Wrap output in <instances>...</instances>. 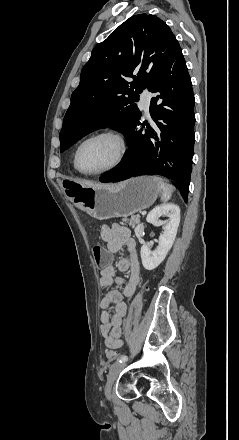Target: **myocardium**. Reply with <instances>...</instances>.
I'll list each match as a JSON object with an SVG mask.
<instances>
[{
	"mask_svg": "<svg viewBox=\"0 0 239 440\" xmlns=\"http://www.w3.org/2000/svg\"><path fill=\"white\" fill-rule=\"evenodd\" d=\"M100 137H110L113 138L117 144H118V148H119V153L118 156L115 160V162L100 171H96V172H86L83 171L80 167L79 164V156H80V151L82 149V147L89 141L96 139V138H100ZM127 151H128V144L127 141L125 139V137L118 131L113 130V129H102V130H98L96 132L91 133L90 135L86 136L77 146L76 152H75V156H74V165L76 167V169L78 170L79 173H81L82 175L85 176H101V175H105L108 173H111L113 171H115L116 169H118L121 164L124 162L126 155H127Z\"/></svg>",
	"mask_w": 239,
	"mask_h": 440,
	"instance_id": "1",
	"label": "myocardium"
}]
</instances>
